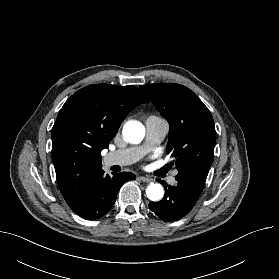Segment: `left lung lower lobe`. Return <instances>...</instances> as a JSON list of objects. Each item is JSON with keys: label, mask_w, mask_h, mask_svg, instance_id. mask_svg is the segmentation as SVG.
I'll list each match as a JSON object with an SVG mask.
<instances>
[{"label": "left lung lower lobe", "mask_w": 279, "mask_h": 279, "mask_svg": "<svg viewBox=\"0 0 279 279\" xmlns=\"http://www.w3.org/2000/svg\"><path fill=\"white\" fill-rule=\"evenodd\" d=\"M201 193V189L178 181L177 185L165 188L164 198L150 202L149 208L164 221H176L191 211Z\"/></svg>", "instance_id": "left-lung-lower-lobe-1"}]
</instances>
